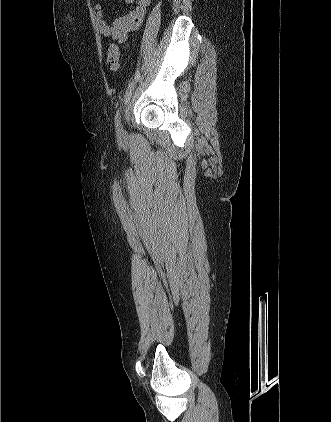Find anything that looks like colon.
Listing matches in <instances>:
<instances>
[{
  "label": "colon",
  "mask_w": 331,
  "mask_h": 422,
  "mask_svg": "<svg viewBox=\"0 0 331 422\" xmlns=\"http://www.w3.org/2000/svg\"><path fill=\"white\" fill-rule=\"evenodd\" d=\"M106 62L110 69L116 70L120 64V50L117 45L109 44L106 50Z\"/></svg>",
  "instance_id": "colon-1"
}]
</instances>
